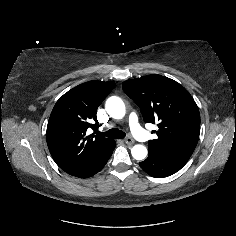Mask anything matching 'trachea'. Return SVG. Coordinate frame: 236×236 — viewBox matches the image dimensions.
Returning a JSON list of instances; mask_svg holds the SVG:
<instances>
[{
	"label": "trachea",
	"instance_id": "obj_1",
	"mask_svg": "<svg viewBox=\"0 0 236 236\" xmlns=\"http://www.w3.org/2000/svg\"><path fill=\"white\" fill-rule=\"evenodd\" d=\"M101 135H104V136H107L110 138H118V139H122L126 136L125 132H123L119 129H116V128H113V129H110L104 133H101Z\"/></svg>",
	"mask_w": 236,
	"mask_h": 236
}]
</instances>
